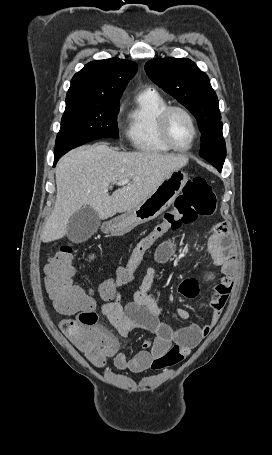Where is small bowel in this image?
Returning <instances> with one entry per match:
<instances>
[{
	"label": "small bowel",
	"instance_id": "1",
	"mask_svg": "<svg viewBox=\"0 0 272 455\" xmlns=\"http://www.w3.org/2000/svg\"><path fill=\"white\" fill-rule=\"evenodd\" d=\"M175 249L173 241H163L156 249V261L167 262ZM208 250L213 264L219 268L221 277L209 302L211 308L209 321L204 325L191 323L183 328L174 329L163 321L164 311L150 295L155 279L153 267L146 270L130 303L125 306L121 304L119 288L110 300H105L101 312L120 336L126 338L135 329H142L154 335L153 342L144 343L133 357L118 353L114 359L118 369L139 373L148 369L162 370L171 367L189 356L192 349L197 347L217 324L228 301L235 277V255L230 231L225 223H218L214 227L208 240ZM179 293L189 299L196 298L199 294L198 280L195 278L184 280L179 285ZM176 314L182 319L189 318V313L184 309H177Z\"/></svg>",
	"mask_w": 272,
	"mask_h": 455
}]
</instances>
